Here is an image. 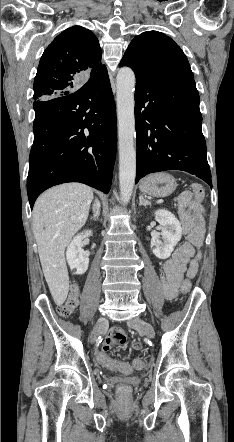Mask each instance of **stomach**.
<instances>
[{
    "label": "stomach",
    "instance_id": "1",
    "mask_svg": "<svg viewBox=\"0 0 234 442\" xmlns=\"http://www.w3.org/2000/svg\"><path fill=\"white\" fill-rule=\"evenodd\" d=\"M176 187L175 178L166 172L151 174L140 183L141 192L160 198L171 195Z\"/></svg>",
    "mask_w": 234,
    "mask_h": 442
}]
</instances>
